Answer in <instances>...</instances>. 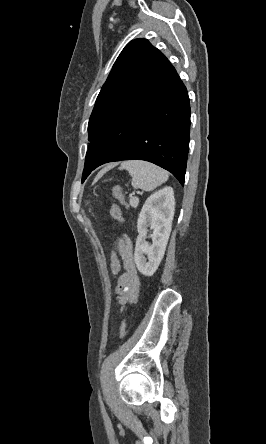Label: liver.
Masks as SVG:
<instances>
[{
	"label": "liver",
	"mask_w": 266,
	"mask_h": 444,
	"mask_svg": "<svg viewBox=\"0 0 266 444\" xmlns=\"http://www.w3.org/2000/svg\"><path fill=\"white\" fill-rule=\"evenodd\" d=\"M115 166V164H111V165H109L108 167H106L102 172H104V171H106L107 169H110V168H112V167H114Z\"/></svg>",
	"instance_id": "1"
}]
</instances>
